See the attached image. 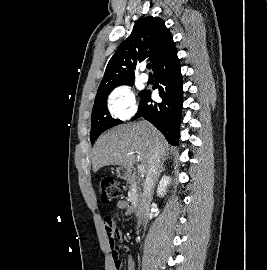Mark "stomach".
Listing matches in <instances>:
<instances>
[{
  "mask_svg": "<svg viewBox=\"0 0 267 270\" xmlns=\"http://www.w3.org/2000/svg\"><path fill=\"white\" fill-rule=\"evenodd\" d=\"M116 174L119 178L126 179L129 177L130 170H129V168L119 166L116 168Z\"/></svg>",
  "mask_w": 267,
  "mask_h": 270,
  "instance_id": "0dacf381",
  "label": "stomach"
}]
</instances>
